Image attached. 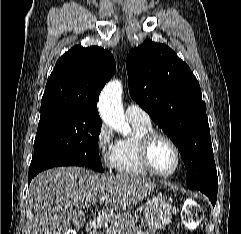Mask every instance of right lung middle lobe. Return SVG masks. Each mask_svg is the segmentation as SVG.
Returning <instances> with one entry per match:
<instances>
[{
  "label": "right lung middle lobe",
  "instance_id": "dd1d6c3e",
  "mask_svg": "<svg viewBox=\"0 0 241 234\" xmlns=\"http://www.w3.org/2000/svg\"><path fill=\"white\" fill-rule=\"evenodd\" d=\"M101 126V119L87 116L75 108H41L31 163L51 155H64L103 172L98 151Z\"/></svg>",
  "mask_w": 241,
  "mask_h": 234
}]
</instances>
